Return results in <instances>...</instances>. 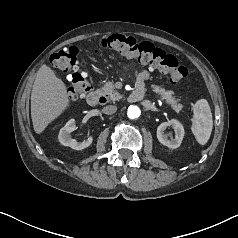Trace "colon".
I'll list each match as a JSON object with an SVG mask.
<instances>
[{
  "label": "colon",
  "mask_w": 238,
  "mask_h": 238,
  "mask_svg": "<svg viewBox=\"0 0 238 238\" xmlns=\"http://www.w3.org/2000/svg\"><path fill=\"white\" fill-rule=\"evenodd\" d=\"M96 46L135 58L141 64L167 75L175 84L185 81L188 77L186 67L180 65L174 56L150 42H139L131 36L113 34L99 39ZM78 53L75 46H69L52 54L49 61L51 67L68 74V95L71 100L83 98L90 91L86 75L79 68Z\"/></svg>",
  "instance_id": "colon-1"
}]
</instances>
